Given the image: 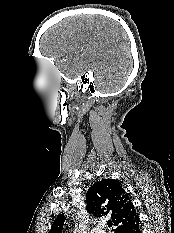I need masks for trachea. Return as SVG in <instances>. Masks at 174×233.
I'll use <instances>...</instances> for the list:
<instances>
[{
    "mask_svg": "<svg viewBox=\"0 0 174 233\" xmlns=\"http://www.w3.org/2000/svg\"><path fill=\"white\" fill-rule=\"evenodd\" d=\"M112 225H113V223H112L111 221H109V222L107 223V226H108L109 228H111Z\"/></svg>",
    "mask_w": 174,
    "mask_h": 233,
    "instance_id": "3493384b",
    "label": "trachea"
}]
</instances>
